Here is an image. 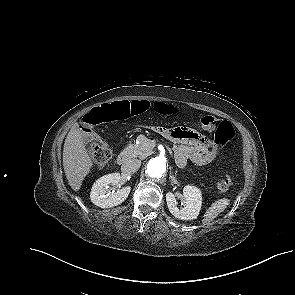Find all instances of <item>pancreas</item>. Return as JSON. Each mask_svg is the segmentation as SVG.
<instances>
[{
  "label": "pancreas",
  "instance_id": "cf45deb5",
  "mask_svg": "<svg viewBox=\"0 0 295 295\" xmlns=\"http://www.w3.org/2000/svg\"><path fill=\"white\" fill-rule=\"evenodd\" d=\"M136 144H131L127 147L126 151L130 157H138L144 159L153 152V142L145 137L140 135L137 138Z\"/></svg>",
  "mask_w": 295,
  "mask_h": 295
}]
</instances>
